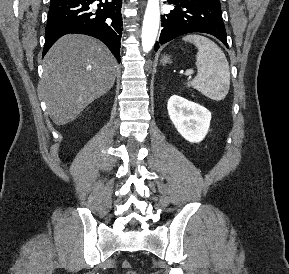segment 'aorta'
Wrapping results in <instances>:
<instances>
[{
	"instance_id": "obj_1",
	"label": "aorta",
	"mask_w": 289,
	"mask_h": 274,
	"mask_svg": "<svg viewBox=\"0 0 289 274\" xmlns=\"http://www.w3.org/2000/svg\"><path fill=\"white\" fill-rule=\"evenodd\" d=\"M160 22L159 0H148L142 27V47L149 52L156 41Z\"/></svg>"
}]
</instances>
